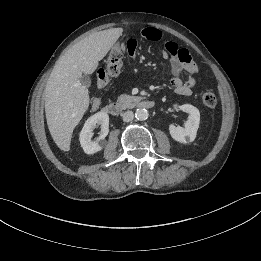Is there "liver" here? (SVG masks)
I'll list each match as a JSON object with an SVG mask.
<instances>
[{"label":"liver","instance_id":"obj_1","mask_svg":"<svg viewBox=\"0 0 261 261\" xmlns=\"http://www.w3.org/2000/svg\"><path fill=\"white\" fill-rule=\"evenodd\" d=\"M122 32V28H111L94 33L56 62L45 88V114L50 134L61 150L70 149L73 130L89 107V91L80 82L82 74L96 70Z\"/></svg>","mask_w":261,"mask_h":261}]
</instances>
